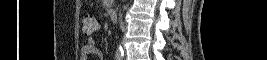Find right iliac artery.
<instances>
[{"label": "right iliac artery", "instance_id": "82829eb1", "mask_svg": "<svg viewBox=\"0 0 267 60\" xmlns=\"http://www.w3.org/2000/svg\"><path fill=\"white\" fill-rule=\"evenodd\" d=\"M116 60H122L124 58L123 54L117 53L115 56Z\"/></svg>", "mask_w": 267, "mask_h": 60}]
</instances>
